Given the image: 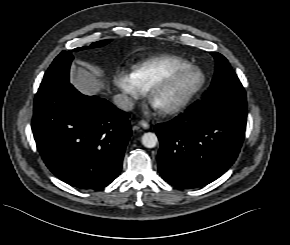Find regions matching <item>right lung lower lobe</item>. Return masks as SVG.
Here are the masks:
<instances>
[{
  "mask_svg": "<svg viewBox=\"0 0 290 245\" xmlns=\"http://www.w3.org/2000/svg\"><path fill=\"white\" fill-rule=\"evenodd\" d=\"M129 114L70 82L38 91L32 131L50 171L78 188L99 189L120 173L131 136Z\"/></svg>",
  "mask_w": 290,
  "mask_h": 245,
  "instance_id": "98d812e1",
  "label": "right lung lower lobe"
}]
</instances>
